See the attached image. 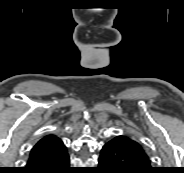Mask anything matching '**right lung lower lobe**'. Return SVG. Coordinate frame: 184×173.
I'll return each mask as SVG.
<instances>
[{
  "label": "right lung lower lobe",
  "instance_id": "obj_1",
  "mask_svg": "<svg viewBox=\"0 0 184 173\" xmlns=\"http://www.w3.org/2000/svg\"><path fill=\"white\" fill-rule=\"evenodd\" d=\"M64 145L57 151L41 156L30 157L22 173H74Z\"/></svg>",
  "mask_w": 184,
  "mask_h": 173
}]
</instances>
